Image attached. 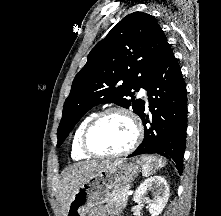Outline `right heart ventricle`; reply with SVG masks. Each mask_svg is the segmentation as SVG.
<instances>
[{"label": "right heart ventricle", "mask_w": 221, "mask_h": 216, "mask_svg": "<svg viewBox=\"0 0 221 216\" xmlns=\"http://www.w3.org/2000/svg\"><path fill=\"white\" fill-rule=\"evenodd\" d=\"M95 114L96 112L88 113L79 123L78 127L76 128L74 132L72 143H71V156L74 159H84L88 157V155L81 148L80 140H81V135L85 126Z\"/></svg>", "instance_id": "e07e8e85"}]
</instances>
